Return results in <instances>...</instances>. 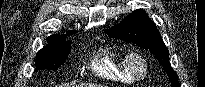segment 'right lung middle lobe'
<instances>
[{"instance_id": "1", "label": "right lung middle lobe", "mask_w": 205, "mask_h": 87, "mask_svg": "<svg viewBox=\"0 0 205 87\" xmlns=\"http://www.w3.org/2000/svg\"><path fill=\"white\" fill-rule=\"evenodd\" d=\"M71 51V42L61 41L49 43L36 55V68L38 70H56L68 57Z\"/></svg>"}]
</instances>
